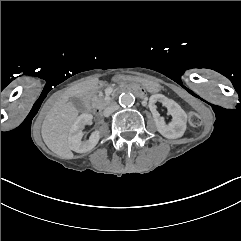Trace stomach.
Wrapping results in <instances>:
<instances>
[{"instance_id": "stomach-1", "label": "stomach", "mask_w": 241, "mask_h": 241, "mask_svg": "<svg viewBox=\"0 0 241 241\" xmlns=\"http://www.w3.org/2000/svg\"><path fill=\"white\" fill-rule=\"evenodd\" d=\"M117 80L141 84L149 92H158L161 89L159 83L139 77L117 76Z\"/></svg>"}]
</instances>
